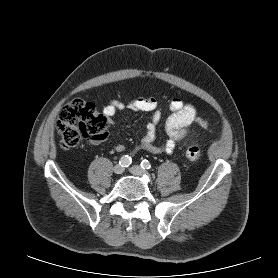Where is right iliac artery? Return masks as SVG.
Here are the masks:
<instances>
[{
  "label": "right iliac artery",
  "mask_w": 278,
  "mask_h": 278,
  "mask_svg": "<svg viewBox=\"0 0 278 278\" xmlns=\"http://www.w3.org/2000/svg\"><path fill=\"white\" fill-rule=\"evenodd\" d=\"M132 160L131 157L128 155H124L120 158L119 164L122 167H128L131 164Z\"/></svg>",
  "instance_id": "1"
}]
</instances>
